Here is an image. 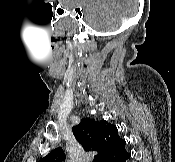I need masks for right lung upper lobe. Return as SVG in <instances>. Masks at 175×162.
<instances>
[{
  "label": "right lung upper lobe",
  "mask_w": 175,
  "mask_h": 162,
  "mask_svg": "<svg viewBox=\"0 0 175 162\" xmlns=\"http://www.w3.org/2000/svg\"><path fill=\"white\" fill-rule=\"evenodd\" d=\"M76 140L85 151H97L94 162H110L125 149V140L118 136L117 127L105 120L84 118L72 128ZM65 154L61 147L53 150L39 162H62Z\"/></svg>",
  "instance_id": "1"
}]
</instances>
